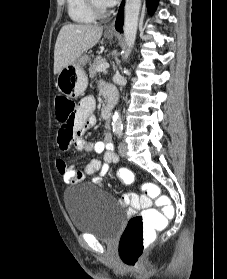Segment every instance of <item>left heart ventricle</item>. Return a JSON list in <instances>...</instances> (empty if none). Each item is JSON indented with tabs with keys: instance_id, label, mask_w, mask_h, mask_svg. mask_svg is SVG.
Segmentation results:
<instances>
[{
	"instance_id": "b2bd125f",
	"label": "left heart ventricle",
	"mask_w": 227,
	"mask_h": 279,
	"mask_svg": "<svg viewBox=\"0 0 227 279\" xmlns=\"http://www.w3.org/2000/svg\"><path fill=\"white\" fill-rule=\"evenodd\" d=\"M95 2H96L97 5H99L101 7H105L106 6L102 0H95Z\"/></svg>"
}]
</instances>
